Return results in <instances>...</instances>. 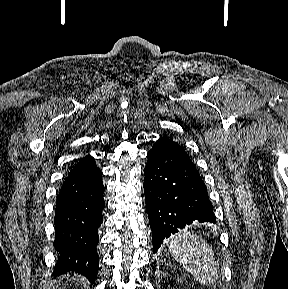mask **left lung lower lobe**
Here are the masks:
<instances>
[{"label": "left lung lower lobe", "mask_w": 288, "mask_h": 289, "mask_svg": "<svg viewBox=\"0 0 288 289\" xmlns=\"http://www.w3.org/2000/svg\"><path fill=\"white\" fill-rule=\"evenodd\" d=\"M144 192L153 252L193 221L216 223L207 188L189 156L160 138L147 154Z\"/></svg>", "instance_id": "1"}]
</instances>
